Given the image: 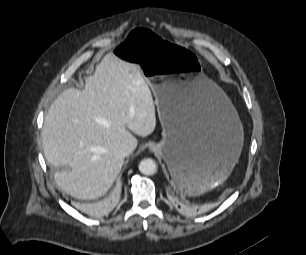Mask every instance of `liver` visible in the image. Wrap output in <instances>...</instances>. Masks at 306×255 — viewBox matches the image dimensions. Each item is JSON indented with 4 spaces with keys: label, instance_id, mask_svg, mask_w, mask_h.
Wrapping results in <instances>:
<instances>
[{
    "label": "liver",
    "instance_id": "1",
    "mask_svg": "<svg viewBox=\"0 0 306 255\" xmlns=\"http://www.w3.org/2000/svg\"><path fill=\"white\" fill-rule=\"evenodd\" d=\"M155 127V103L139 66L110 53L83 90L69 88L52 103L42 129L44 154L61 169L54 178L64 192L95 199L121 171L120 147L136 148L132 133L146 137Z\"/></svg>",
    "mask_w": 306,
    "mask_h": 255
}]
</instances>
